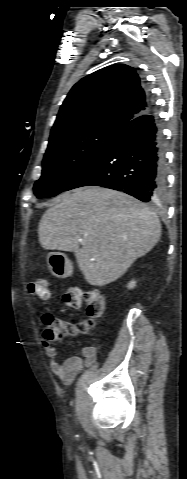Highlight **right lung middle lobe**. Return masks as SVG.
<instances>
[{
	"instance_id": "right-lung-middle-lobe-1",
	"label": "right lung middle lobe",
	"mask_w": 187,
	"mask_h": 479,
	"mask_svg": "<svg viewBox=\"0 0 187 479\" xmlns=\"http://www.w3.org/2000/svg\"><path fill=\"white\" fill-rule=\"evenodd\" d=\"M121 129L110 125H91L66 131L49 140L43 159L41 178L34 185L38 198L53 197L91 164Z\"/></svg>"
}]
</instances>
